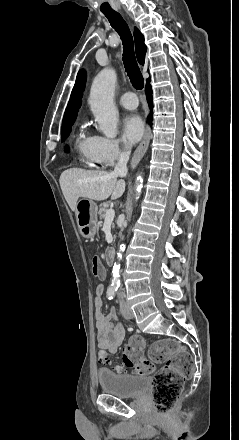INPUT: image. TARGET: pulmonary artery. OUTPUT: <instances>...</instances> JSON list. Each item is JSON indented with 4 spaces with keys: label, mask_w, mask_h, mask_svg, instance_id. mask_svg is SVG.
Masks as SVG:
<instances>
[{
    "label": "pulmonary artery",
    "mask_w": 239,
    "mask_h": 440,
    "mask_svg": "<svg viewBox=\"0 0 239 440\" xmlns=\"http://www.w3.org/2000/svg\"><path fill=\"white\" fill-rule=\"evenodd\" d=\"M133 97H136L133 92L124 93L119 98V104L126 109H135L138 106V101H133Z\"/></svg>",
    "instance_id": "e3ab8cb5"
}]
</instances>
